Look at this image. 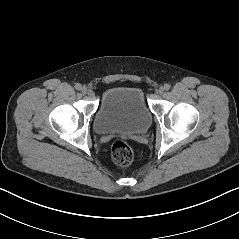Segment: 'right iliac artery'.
Here are the masks:
<instances>
[{"label": "right iliac artery", "mask_w": 239, "mask_h": 239, "mask_svg": "<svg viewBox=\"0 0 239 239\" xmlns=\"http://www.w3.org/2000/svg\"><path fill=\"white\" fill-rule=\"evenodd\" d=\"M81 88H82L81 84H79V83L75 84V89L76 90H81Z\"/></svg>", "instance_id": "1"}]
</instances>
